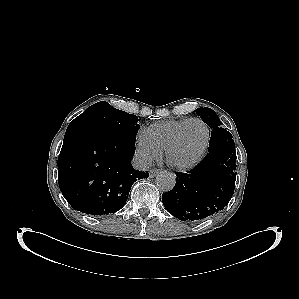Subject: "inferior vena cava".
Masks as SVG:
<instances>
[{"label":"inferior vena cava","mask_w":299,"mask_h":299,"mask_svg":"<svg viewBox=\"0 0 299 299\" xmlns=\"http://www.w3.org/2000/svg\"><path fill=\"white\" fill-rule=\"evenodd\" d=\"M151 162L147 157L135 156L132 160V165L136 170L145 171L150 166Z\"/></svg>","instance_id":"602c4592"}]
</instances>
